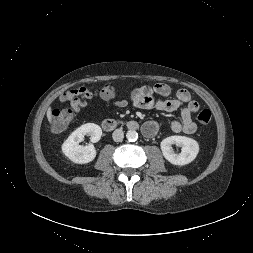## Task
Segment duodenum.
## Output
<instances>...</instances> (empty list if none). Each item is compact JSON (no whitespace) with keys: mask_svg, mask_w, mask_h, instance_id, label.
Returning a JSON list of instances; mask_svg holds the SVG:
<instances>
[{"mask_svg":"<svg viewBox=\"0 0 253 253\" xmlns=\"http://www.w3.org/2000/svg\"><path fill=\"white\" fill-rule=\"evenodd\" d=\"M126 126L130 130H138L140 128V125L137 121L130 120L125 123L117 121L115 119H104L102 121V127L106 131H113L117 128Z\"/></svg>","mask_w":253,"mask_h":253,"instance_id":"410a0bca","label":"duodenum"}]
</instances>
